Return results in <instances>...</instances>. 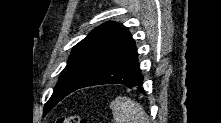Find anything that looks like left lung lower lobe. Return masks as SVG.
Listing matches in <instances>:
<instances>
[{
	"label": "left lung lower lobe",
	"mask_w": 221,
	"mask_h": 123,
	"mask_svg": "<svg viewBox=\"0 0 221 123\" xmlns=\"http://www.w3.org/2000/svg\"><path fill=\"white\" fill-rule=\"evenodd\" d=\"M137 56V49L134 46L102 67L88 78L78 89L93 85L117 83L126 85L128 88L136 87L140 91H143L141 87L143 84V77L141 75Z\"/></svg>",
	"instance_id": "1"
}]
</instances>
